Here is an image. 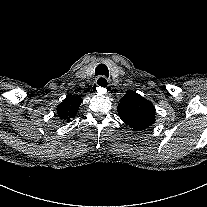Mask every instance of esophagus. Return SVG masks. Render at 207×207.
Masks as SVG:
<instances>
[{"instance_id":"1","label":"esophagus","mask_w":207,"mask_h":207,"mask_svg":"<svg viewBox=\"0 0 207 207\" xmlns=\"http://www.w3.org/2000/svg\"><path fill=\"white\" fill-rule=\"evenodd\" d=\"M98 80H99L101 83H107V84H108V79H107L106 77H104V76L96 78V81H98ZM102 88H103L104 91L106 92L105 87H102Z\"/></svg>"}]
</instances>
